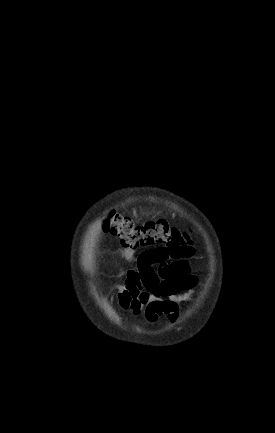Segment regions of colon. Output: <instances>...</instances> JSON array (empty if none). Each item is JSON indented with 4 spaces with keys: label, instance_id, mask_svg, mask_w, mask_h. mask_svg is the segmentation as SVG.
<instances>
[{
    "label": "colon",
    "instance_id": "colon-1",
    "mask_svg": "<svg viewBox=\"0 0 275 433\" xmlns=\"http://www.w3.org/2000/svg\"><path fill=\"white\" fill-rule=\"evenodd\" d=\"M104 230L118 237L127 249L162 245L165 257L172 259L189 257L192 252L186 232L163 220L137 224L129 217L111 211L104 221Z\"/></svg>",
    "mask_w": 275,
    "mask_h": 433
}]
</instances>
